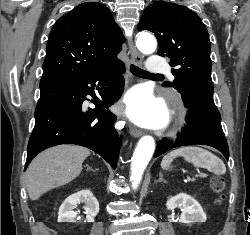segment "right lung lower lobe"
<instances>
[{
	"mask_svg": "<svg viewBox=\"0 0 250 235\" xmlns=\"http://www.w3.org/2000/svg\"><path fill=\"white\" fill-rule=\"evenodd\" d=\"M124 72L122 62L111 61L69 79L40 84L25 170L38 153L60 144L87 147L116 168L121 138L114 128L115 115L105 108L119 99ZM87 95L96 97V108L83 105Z\"/></svg>",
	"mask_w": 250,
	"mask_h": 235,
	"instance_id": "1",
	"label": "right lung lower lobe"
}]
</instances>
